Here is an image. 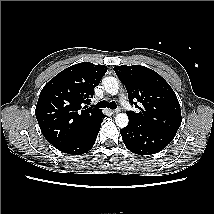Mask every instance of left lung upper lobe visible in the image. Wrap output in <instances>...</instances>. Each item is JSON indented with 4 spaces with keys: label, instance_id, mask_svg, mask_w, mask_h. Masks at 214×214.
<instances>
[{
    "label": "left lung upper lobe",
    "instance_id": "left-lung-upper-lobe-1",
    "mask_svg": "<svg viewBox=\"0 0 214 214\" xmlns=\"http://www.w3.org/2000/svg\"><path fill=\"white\" fill-rule=\"evenodd\" d=\"M114 71L125 85L129 102L139 110L129 111V122L176 135L181 109L170 85L155 71L141 65H122Z\"/></svg>",
    "mask_w": 214,
    "mask_h": 214
}]
</instances>
